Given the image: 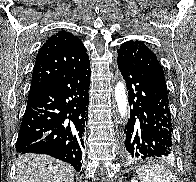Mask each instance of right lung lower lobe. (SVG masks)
<instances>
[{"label":"right lung lower lobe","mask_w":196,"mask_h":182,"mask_svg":"<svg viewBox=\"0 0 196 182\" xmlns=\"http://www.w3.org/2000/svg\"><path fill=\"white\" fill-rule=\"evenodd\" d=\"M90 75L87 57L28 98L16 142L18 154H47L81 170Z\"/></svg>","instance_id":"98d812e1"}]
</instances>
